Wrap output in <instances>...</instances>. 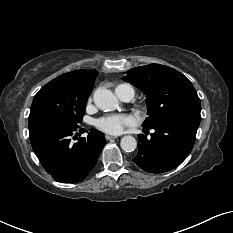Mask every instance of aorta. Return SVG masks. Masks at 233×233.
<instances>
[{
    "instance_id": "762f6f07",
    "label": "aorta",
    "mask_w": 233,
    "mask_h": 233,
    "mask_svg": "<svg viewBox=\"0 0 233 233\" xmlns=\"http://www.w3.org/2000/svg\"><path fill=\"white\" fill-rule=\"evenodd\" d=\"M95 105L102 111H114L119 103L116 96L108 89L98 88L93 94ZM120 146L125 152H133L137 147V141L133 136L122 137Z\"/></svg>"
}]
</instances>
